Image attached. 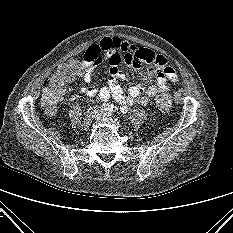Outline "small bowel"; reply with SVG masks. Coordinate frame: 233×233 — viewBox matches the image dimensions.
Wrapping results in <instances>:
<instances>
[{
	"label": "small bowel",
	"instance_id": "1",
	"mask_svg": "<svg viewBox=\"0 0 233 233\" xmlns=\"http://www.w3.org/2000/svg\"><path fill=\"white\" fill-rule=\"evenodd\" d=\"M122 52L124 54H121ZM103 59L110 64L112 78L108 85L101 89L95 85L81 86L80 91L88 97L98 94L103 100L113 98L122 111H127L133 104L147 105L157 93L168 90L167 80L178 81V74L168 65L164 56L157 55L149 49H137L118 37H106L91 44L85 51L86 68L82 76L87 84L92 81L93 67ZM121 63L134 69H139L142 63L149 64L148 78L155 79L156 82L149 85L144 94H141V84L128 88L122 86L120 81L124 79V74L119 69Z\"/></svg>",
	"mask_w": 233,
	"mask_h": 233
}]
</instances>
